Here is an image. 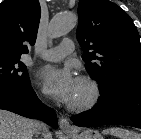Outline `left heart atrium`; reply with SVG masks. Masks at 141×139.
Returning <instances> with one entry per match:
<instances>
[{
  "mask_svg": "<svg viewBox=\"0 0 141 139\" xmlns=\"http://www.w3.org/2000/svg\"><path fill=\"white\" fill-rule=\"evenodd\" d=\"M37 77L47 94L61 102H71L77 79L70 69L45 66L38 71Z\"/></svg>",
  "mask_w": 141,
  "mask_h": 139,
  "instance_id": "obj_1",
  "label": "left heart atrium"
}]
</instances>
